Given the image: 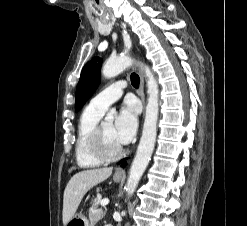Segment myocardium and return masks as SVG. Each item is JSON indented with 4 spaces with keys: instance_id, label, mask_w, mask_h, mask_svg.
I'll use <instances>...</instances> for the list:
<instances>
[{
    "instance_id": "1",
    "label": "myocardium",
    "mask_w": 247,
    "mask_h": 226,
    "mask_svg": "<svg viewBox=\"0 0 247 226\" xmlns=\"http://www.w3.org/2000/svg\"><path fill=\"white\" fill-rule=\"evenodd\" d=\"M103 124L104 123H98L91 133L89 140L90 151L93 156L101 162H113L123 155L124 149L121 147L113 154H109L106 152L103 144L102 135Z\"/></svg>"
}]
</instances>
